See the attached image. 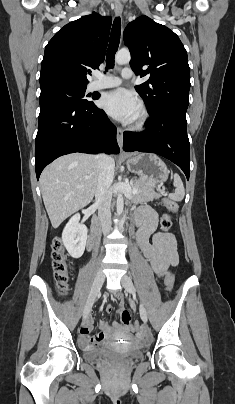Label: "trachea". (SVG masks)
<instances>
[{
	"instance_id": "obj_1",
	"label": "trachea",
	"mask_w": 235,
	"mask_h": 404,
	"mask_svg": "<svg viewBox=\"0 0 235 404\" xmlns=\"http://www.w3.org/2000/svg\"><path fill=\"white\" fill-rule=\"evenodd\" d=\"M121 35V20L120 17L115 18L113 22V27L111 30L109 46L106 54V71L108 69L114 68V58L118 50L119 41Z\"/></svg>"
}]
</instances>
